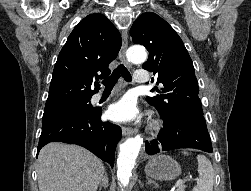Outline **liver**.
<instances>
[{"label":"liver","mask_w":251,"mask_h":191,"mask_svg":"<svg viewBox=\"0 0 251 191\" xmlns=\"http://www.w3.org/2000/svg\"><path fill=\"white\" fill-rule=\"evenodd\" d=\"M105 167L80 145L51 141L39 151V191H97Z\"/></svg>","instance_id":"1"}]
</instances>
